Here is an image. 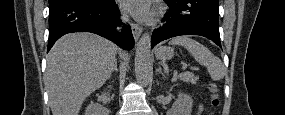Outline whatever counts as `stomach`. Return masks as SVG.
Instances as JSON below:
<instances>
[{
  "instance_id": "obj_1",
  "label": "stomach",
  "mask_w": 285,
  "mask_h": 115,
  "mask_svg": "<svg viewBox=\"0 0 285 115\" xmlns=\"http://www.w3.org/2000/svg\"><path fill=\"white\" fill-rule=\"evenodd\" d=\"M155 55L158 59L169 60L174 56V51L170 47L163 46L155 51Z\"/></svg>"
}]
</instances>
